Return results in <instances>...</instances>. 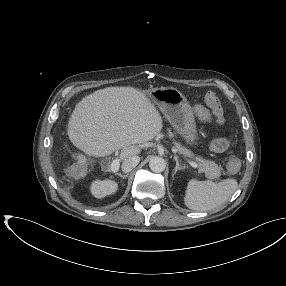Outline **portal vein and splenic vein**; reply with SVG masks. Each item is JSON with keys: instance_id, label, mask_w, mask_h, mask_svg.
<instances>
[{"instance_id": "1", "label": "portal vein and splenic vein", "mask_w": 286, "mask_h": 286, "mask_svg": "<svg viewBox=\"0 0 286 286\" xmlns=\"http://www.w3.org/2000/svg\"><path fill=\"white\" fill-rule=\"evenodd\" d=\"M187 162L189 163L190 166L194 167V168H198L199 165L197 163H195L194 161H191L189 159H186ZM119 169V159H115L112 164H111V170L113 172H116Z\"/></svg>"}]
</instances>
